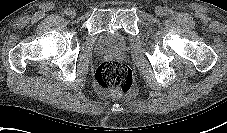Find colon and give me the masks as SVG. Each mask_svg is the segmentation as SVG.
I'll return each instance as SVG.
<instances>
[{
    "instance_id": "obj_1",
    "label": "colon",
    "mask_w": 227,
    "mask_h": 133,
    "mask_svg": "<svg viewBox=\"0 0 227 133\" xmlns=\"http://www.w3.org/2000/svg\"><path fill=\"white\" fill-rule=\"evenodd\" d=\"M95 80L100 89L120 93L128 92L133 84L129 67L114 59L106 60L99 65Z\"/></svg>"
}]
</instances>
